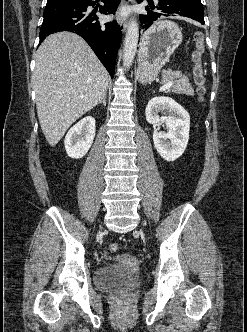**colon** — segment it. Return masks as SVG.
I'll return each instance as SVG.
<instances>
[{
    "mask_svg": "<svg viewBox=\"0 0 247 332\" xmlns=\"http://www.w3.org/2000/svg\"><path fill=\"white\" fill-rule=\"evenodd\" d=\"M196 43V49L193 53V79L197 86V92L200 97H202L206 93L205 87V72L203 68V53H204V36L201 32L195 34L194 37ZM109 249L111 252L115 253L119 250L118 243H111L109 245Z\"/></svg>",
    "mask_w": 247,
    "mask_h": 332,
    "instance_id": "5ec220e1",
    "label": "colon"
}]
</instances>
